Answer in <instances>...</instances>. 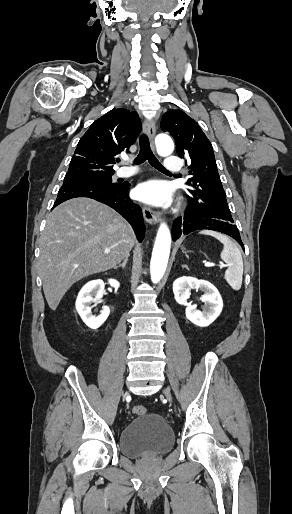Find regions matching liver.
Segmentation results:
<instances>
[{
    "instance_id": "1",
    "label": "liver",
    "mask_w": 292,
    "mask_h": 514,
    "mask_svg": "<svg viewBox=\"0 0 292 514\" xmlns=\"http://www.w3.org/2000/svg\"><path fill=\"white\" fill-rule=\"evenodd\" d=\"M135 240L130 224L96 200L73 198L57 206L48 214L39 240V268L49 308L56 310L78 280L116 268L129 256Z\"/></svg>"
}]
</instances>
